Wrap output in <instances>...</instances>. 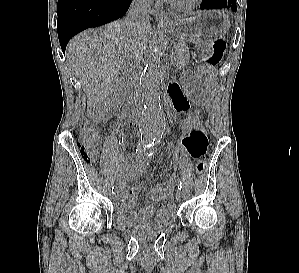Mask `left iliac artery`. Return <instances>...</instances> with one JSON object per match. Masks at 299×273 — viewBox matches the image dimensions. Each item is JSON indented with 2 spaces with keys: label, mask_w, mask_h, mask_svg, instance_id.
Returning a JSON list of instances; mask_svg holds the SVG:
<instances>
[{
  "label": "left iliac artery",
  "mask_w": 299,
  "mask_h": 273,
  "mask_svg": "<svg viewBox=\"0 0 299 273\" xmlns=\"http://www.w3.org/2000/svg\"><path fill=\"white\" fill-rule=\"evenodd\" d=\"M157 142H159V140H156V141H155V143H157ZM155 143H154V141H153L152 143H149L147 147L150 148V147L153 146ZM177 186H178V189H179V190H182V182H181L179 179H178V181H177Z\"/></svg>",
  "instance_id": "1"
}]
</instances>
